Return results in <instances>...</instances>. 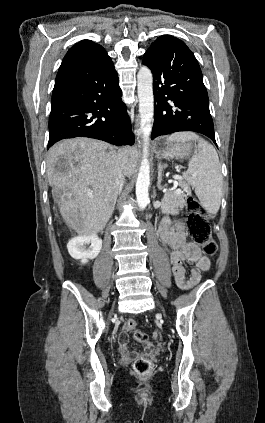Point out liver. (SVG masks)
<instances>
[{"mask_svg": "<svg viewBox=\"0 0 265 423\" xmlns=\"http://www.w3.org/2000/svg\"><path fill=\"white\" fill-rule=\"evenodd\" d=\"M137 160L135 148L116 151L90 138L53 145L47 155V175L66 224L80 236L103 230L115 207L119 166L123 164L132 175Z\"/></svg>", "mask_w": 265, "mask_h": 423, "instance_id": "1", "label": "liver"}]
</instances>
